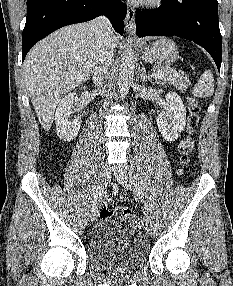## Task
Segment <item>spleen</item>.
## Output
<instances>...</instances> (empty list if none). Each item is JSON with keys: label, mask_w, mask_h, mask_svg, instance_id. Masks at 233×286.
<instances>
[{"label": "spleen", "mask_w": 233, "mask_h": 286, "mask_svg": "<svg viewBox=\"0 0 233 286\" xmlns=\"http://www.w3.org/2000/svg\"><path fill=\"white\" fill-rule=\"evenodd\" d=\"M192 93L196 97L207 98L214 93V77L211 70H205L195 84Z\"/></svg>", "instance_id": "obj_1"}]
</instances>
